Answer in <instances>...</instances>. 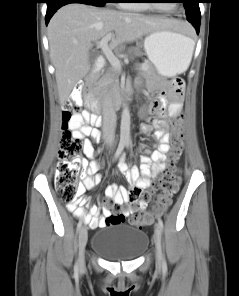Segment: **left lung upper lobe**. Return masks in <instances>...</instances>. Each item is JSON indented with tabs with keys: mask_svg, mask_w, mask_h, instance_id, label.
I'll list each match as a JSON object with an SVG mask.
<instances>
[{
	"mask_svg": "<svg viewBox=\"0 0 239 296\" xmlns=\"http://www.w3.org/2000/svg\"><path fill=\"white\" fill-rule=\"evenodd\" d=\"M199 2L200 0H183L182 3L186 9V15L188 19H201Z\"/></svg>",
	"mask_w": 239,
	"mask_h": 296,
	"instance_id": "obj_1",
	"label": "left lung upper lobe"
}]
</instances>
